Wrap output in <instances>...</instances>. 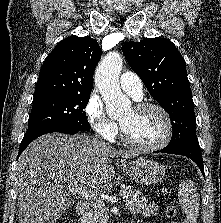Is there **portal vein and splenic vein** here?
I'll return each instance as SVG.
<instances>
[{"mask_svg":"<svg viewBox=\"0 0 221 223\" xmlns=\"http://www.w3.org/2000/svg\"><path fill=\"white\" fill-rule=\"evenodd\" d=\"M74 192L82 197H85L87 200L91 201L94 205H99L102 202L100 197H98L94 192H92L87 188L84 187L76 188ZM120 194L125 195L126 191L121 190Z\"/></svg>","mask_w":221,"mask_h":223,"instance_id":"18ae733b","label":"portal vein and splenic vein"}]
</instances>
